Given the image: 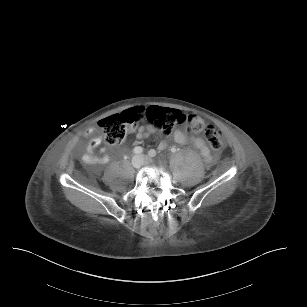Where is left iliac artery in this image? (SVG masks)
<instances>
[{"label": "left iliac artery", "mask_w": 307, "mask_h": 307, "mask_svg": "<svg viewBox=\"0 0 307 307\" xmlns=\"http://www.w3.org/2000/svg\"><path fill=\"white\" fill-rule=\"evenodd\" d=\"M149 156L150 157H155L156 156V151L154 149H151L149 152H148Z\"/></svg>", "instance_id": "1"}]
</instances>
